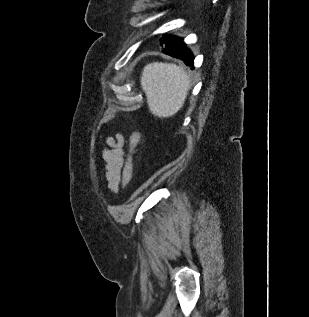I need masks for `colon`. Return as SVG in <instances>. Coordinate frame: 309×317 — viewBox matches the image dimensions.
I'll list each match as a JSON object with an SVG mask.
<instances>
[{
    "label": "colon",
    "mask_w": 309,
    "mask_h": 317,
    "mask_svg": "<svg viewBox=\"0 0 309 317\" xmlns=\"http://www.w3.org/2000/svg\"><path fill=\"white\" fill-rule=\"evenodd\" d=\"M141 136L139 132H134L129 139V151L126 162L123 167L122 182L124 186L129 185L133 175V157L136 152V148L140 142Z\"/></svg>",
    "instance_id": "obj_1"
}]
</instances>
